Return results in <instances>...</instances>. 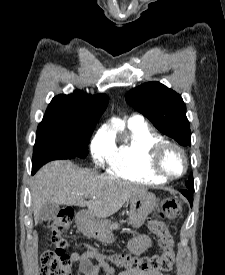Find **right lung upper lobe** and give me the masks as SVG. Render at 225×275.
<instances>
[{
    "label": "right lung upper lobe",
    "mask_w": 225,
    "mask_h": 275,
    "mask_svg": "<svg viewBox=\"0 0 225 275\" xmlns=\"http://www.w3.org/2000/svg\"><path fill=\"white\" fill-rule=\"evenodd\" d=\"M108 104L105 94L88 95L74 91L70 95L55 96L49 104L43 121L66 120L87 124H96Z\"/></svg>",
    "instance_id": "right-lung-upper-lobe-1"
}]
</instances>
